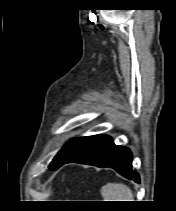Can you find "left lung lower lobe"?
Here are the masks:
<instances>
[{
    "label": "left lung lower lobe",
    "mask_w": 176,
    "mask_h": 211,
    "mask_svg": "<svg viewBox=\"0 0 176 211\" xmlns=\"http://www.w3.org/2000/svg\"><path fill=\"white\" fill-rule=\"evenodd\" d=\"M70 162L110 167L122 176L134 179L137 183L140 182L138 173L132 170L131 151L126 147L115 145L111 137L106 135L93 136L78 153L67 159L63 164Z\"/></svg>",
    "instance_id": "left-lung-lower-lobe-1"
}]
</instances>
